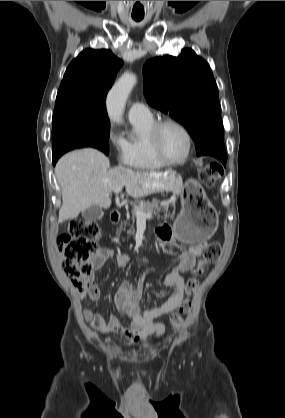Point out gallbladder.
<instances>
[{
    "instance_id": "1",
    "label": "gallbladder",
    "mask_w": 285,
    "mask_h": 418,
    "mask_svg": "<svg viewBox=\"0 0 285 418\" xmlns=\"http://www.w3.org/2000/svg\"><path fill=\"white\" fill-rule=\"evenodd\" d=\"M103 216L102 208L98 205H92L82 212V217L86 221H96Z\"/></svg>"
}]
</instances>
